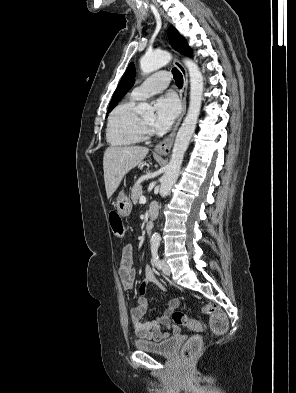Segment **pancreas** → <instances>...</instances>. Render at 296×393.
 <instances>
[{
	"instance_id": "1",
	"label": "pancreas",
	"mask_w": 296,
	"mask_h": 393,
	"mask_svg": "<svg viewBox=\"0 0 296 393\" xmlns=\"http://www.w3.org/2000/svg\"><path fill=\"white\" fill-rule=\"evenodd\" d=\"M142 196V186L135 184L131 189V199L134 204H137L140 197Z\"/></svg>"
}]
</instances>
